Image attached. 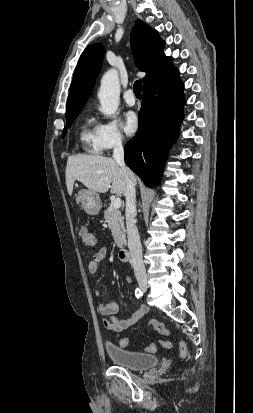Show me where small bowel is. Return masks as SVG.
I'll return each mask as SVG.
<instances>
[{
  "label": "small bowel",
  "mask_w": 253,
  "mask_h": 413,
  "mask_svg": "<svg viewBox=\"0 0 253 413\" xmlns=\"http://www.w3.org/2000/svg\"><path fill=\"white\" fill-rule=\"evenodd\" d=\"M107 256V248L102 247L100 248L93 256V259L90 261L88 265V271L90 274H95L101 262L106 258ZM127 281L129 282L130 279L127 278ZM96 296L100 297L101 296V291L97 290L96 291ZM99 312L100 314L104 317L103 319V325L106 329L114 331V332H123L133 325H135L148 311L147 307L144 305H140L134 313L123 320H118L112 315L118 311V305L115 302H106V303H100L99 304Z\"/></svg>",
  "instance_id": "small-bowel-1"
}]
</instances>
